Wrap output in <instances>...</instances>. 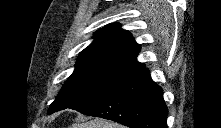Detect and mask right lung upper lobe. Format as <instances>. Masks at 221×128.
I'll use <instances>...</instances> for the list:
<instances>
[{"label": "right lung upper lobe", "mask_w": 221, "mask_h": 128, "mask_svg": "<svg viewBox=\"0 0 221 128\" xmlns=\"http://www.w3.org/2000/svg\"><path fill=\"white\" fill-rule=\"evenodd\" d=\"M93 38L94 41L79 54L75 70L92 69L128 77L145 67L136 60L139 45L118 24L107 25Z\"/></svg>", "instance_id": "1"}]
</instances>
